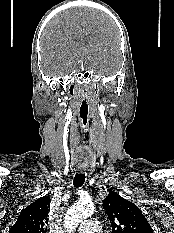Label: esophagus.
Returning <instances> with one entry per match:
<instances>
[{"instance_id":"1","label":"esophagus","mask_w":174,"mask_h":233,"mask_svg":"<svg viewBox=\"0 0 174 233\" xmlns=\"http://www.w3.org/2000/svg\"><path fill=\"white\" fill-rule=\"evenodd\" d=\"M79 172L84 173V172H86V169L85 168H79Z\"/></svg>"}]
</instances>
